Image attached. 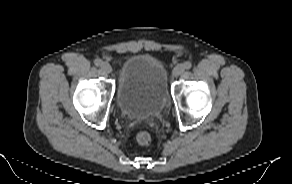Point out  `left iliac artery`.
<instances>
[{
	"label": "left iliac artery",
	"mask_w": 292,
	"mask_h": 184,
	"mask_svg": "<svg viewBox=\"0 0 292 184\" xmlns=\"http://www.w3.org/2000/svg\"><path fill=\"white\" fill-rule=\"evenodd\" d=\"M191 67H192V63L191 62L187 61V62L184 63V68L185 69H190Z\"/></svg>",
	"instance_id": "obj_1"
}]
</instances>
